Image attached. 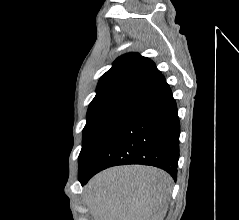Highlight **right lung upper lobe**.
Masks as SVG:
<instances>
[{
  "label": "right lung upper lobe",
  "mask_w": 239,
  "mask_h": 220,
  "mask_svg": "<svg viewBox=\"0 0 239 220\" xmlns=\"http://www.w3.org/2000/svg\"><path fill=\"white\" fill-rule=\"evenodd\" d=\"M163 82L164 76L149 58L138 53L124 54L100 78L87 116L118 106L133 105Z\"/></svg>",
  "instance_id": "1"
}]
</instances>
